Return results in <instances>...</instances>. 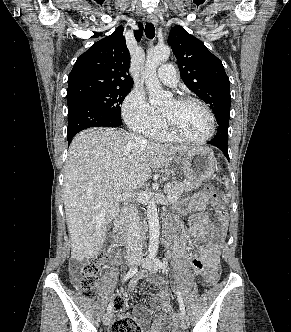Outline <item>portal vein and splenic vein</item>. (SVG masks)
Listing matches in <instances>:
<instances>
[{"label":"portal vein and splenic vein","instance_id":"1","mask_svg":"<svg viewBox=\"0 0 291 332\" xmlns=\"http://www.w3.org/2000/svg\"><path fill=\"white\" fill-rule=\"evenodd\" d=\"M129 197H131L130 193H123L121 196H119L118 200H126ZM177 199H178L177 196L169 198L170 201H176Z\"/></svg>","mask_w":291,"mask_h":332}]
</instances>
